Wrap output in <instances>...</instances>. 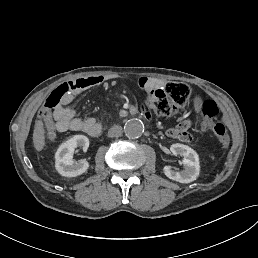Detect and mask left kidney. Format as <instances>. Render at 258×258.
<instances>
[{
    "label": "left kidney",
    "mask_w": 258,
    "mask_h": 258,
    "mask_svg": "<svg viewBox=\"0 0 258 258\" xmlns=\"http://www.w3.org/2000/svg\"><path fill=\"white\" fill-rule=\"evenodd\" d=\"M170 151L175 156H183L182 163L184 165V170L174 171L171 166H164L165 175L180 183H190L196 180L200 172L199 156L196 151L189 146L180 143L172 144Z\"/></svg>",
    "instance_id": "obj_1"
}]
</instances>
